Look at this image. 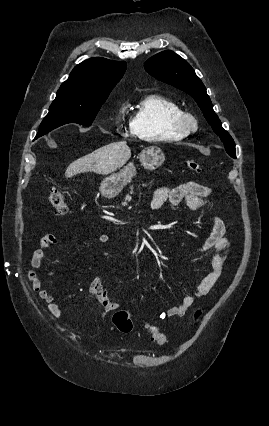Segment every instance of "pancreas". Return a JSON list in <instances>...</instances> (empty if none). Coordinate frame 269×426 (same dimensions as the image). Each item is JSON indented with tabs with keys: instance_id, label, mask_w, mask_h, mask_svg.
Here are the masks:
<instances>
[{
	"instance_id": "cf45deb5",
	"label": "pancreas",
	"mask_w": 269,
	"mask_h": 426,
	"mask_svg": "<svg viewBox=\"0 0 269 426\" xmlns=\"http://www.w3.org/2000/svg\"><path fill=\"white\" fill-rule=\"evenodd\" d=\"M130 189H131L130 194H132L133 193V186H131ZM130 200H131V196L129 194H127L126 197H125V203L127 201H130Z\"/></svg>"
}]
</instances>
